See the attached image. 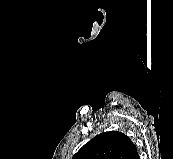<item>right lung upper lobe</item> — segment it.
Here are the masks:
<instances>
[{"mask_svg": "<svg viewBox=\"0 0 173 159\" xmlns=\"http://www.w3.org/2000/svg\"><path fill=\"white\" fill-rule=\"evenodd\" d=\"M72 159H140L136 146L121 132H103L87 142Z\"/></svg>", "mask_w": 173, "mask_h": 159, "instance_id": "1", "label": "right lung upper lobe"}]
</instances>
